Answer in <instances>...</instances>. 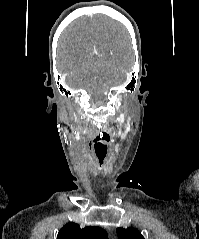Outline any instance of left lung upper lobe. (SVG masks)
<instances>
[{"label":"left lung upper lobe","instance_id":"obj_1","mask_svg":"<svg viewBox=\"0 0 199 239\" xmlns=\"http://www.w3.org/2000/svg\"><path fill=\"white\" fill-rule=\"evenodd\" d=\"M117 235L119 239H144L141 233L134 228H117Z\"/></svg>","mask_w":199,"mask_h":239}]
</instances>
